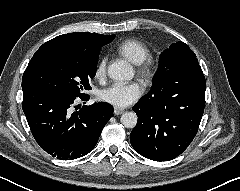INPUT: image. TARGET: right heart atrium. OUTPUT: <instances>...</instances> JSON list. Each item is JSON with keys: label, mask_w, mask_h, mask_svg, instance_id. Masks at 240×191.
Instances as JSON below:
<instances>
[{"label": "right heart atrium", "mask_w": 240, "mask_h": 191, "mask_svg": "<svg viewBox=\"0 0 240 191\" xmlns=\"http://www.w3.org/2000/svg\"><path fill=\"white\" fill-rule=\"evenodd\" d=\"M106 66H107V59H106V57H102L98 61L96 69H95V77L96 78L101 79L105 76Z\"/></svg>", "instance_id": "right-heart-atrium-1"}]
</instances>
